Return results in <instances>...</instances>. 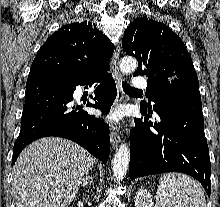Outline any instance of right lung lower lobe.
I'll return each mask as SVG.
<instances>
[{
    "label": "right lung lower lobe",
    "mask_w": 220,
    "mask_h": 207,
    "mask_svg": "<svg viewBox=\"0 0 220 207\" xmlns=\"http://www.w3.org/2000/svg\"><path fill=\"white\" fill-rule=\"evenodd\" d=\"M109 68L82 79L72 80L52 75L28 77L27 95L21 118V130L14 143L12 165L28 144L42 137L58 136L70 139L101 160L109 158V127L101 119L88 115L73 102L77 85L99 81L95 104L85 106L109 112L116 97V85Z\"/></svg>",
    "instance_id": "98d812e1"
}]
</instances>
